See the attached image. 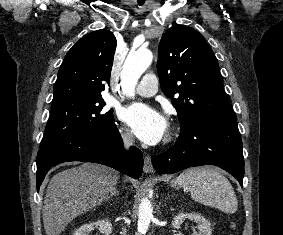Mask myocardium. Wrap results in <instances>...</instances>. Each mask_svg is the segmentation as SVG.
Returning a JSON list of instances; mask_svg holds the SVG:
<instances>
[{"instance_id": "myocardium-1", "label": "myocardium", "mask_w": 283, "mask_h": 235, "mask_svg": "<svg viewBox=\"0 0 283 235\" xmlns=\"http://www.w3.org/2000/svg\"><path fill=\"white\" fill-rule=\"evenodd\" d=\"M170 140H171V136L168 135V136L166 137V139H165V142H169Z\"/></svg>"}]
</instances>
